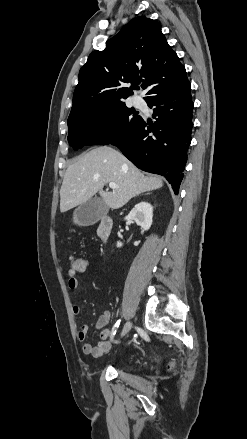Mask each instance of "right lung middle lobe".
I'll return each instance as SVG.
<instances>
[{"instance_id":"dd1d6c3e","label":"right lung middle lobe","mask_w":247,"mask_h":439,"mask_svg":"<svg viewBox=\"0 0 247 439\" xmlns=\"http://www.w3.org/2000/svg\"><path fill=\"white\" fill-rule=\"evenodd\" d=\"M140 118L123 101L99 106L68 118V141L74 150L107 145L126 134Z\"/></svg>"}]
</instances>
